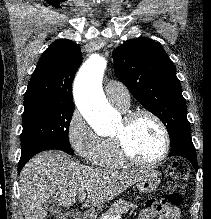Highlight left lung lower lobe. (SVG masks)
Here are the masks:
<instances>
[{
    "mask_svg": "<svg viewBox=\"0 0 211 219\" xmlns=\"http://www.w3.org/2000/svg\"><path fill=\"white\" fill-rule=\"evenodd\" d=\"M171 151L168 155L170 156H181L188 159L194 169L197 171V157H196V150L193 145L191 139V133H185L179 136L172 144H171Z\"/></svg>",
    "mask_w": 211,
    "mask_h": 219,
    "instance_id": "1",
    "label": "left lung lower lobe"
}]
</instances>
